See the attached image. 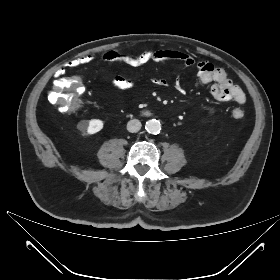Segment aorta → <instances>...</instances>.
<instances>
[{"label":"aorta","mask_w":280,"mask_h":280,"mask_svg":"<svg viewBox=\"0 0 280 280\" xmlns=\"http://www.w3.org/2000/svg\"><path fill=\"white\" fill-rule=\"evenodd\" d=\"M145 128L147 132L157 134L161 130V124L159 121L152 119L146 122Z\"/></svg>","instance_id":"aorta-1"}]
</instances>
